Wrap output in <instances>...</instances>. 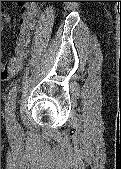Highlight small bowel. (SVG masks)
Listing matches in <instances>:
<instances>
[{"mask_svg": "<svg viewBox=\"0 0 121 169\" xmlns=\"http://www.w3.org/2000/svg\"><path fill=\"white\" fill-rule=\"evenodd\" d=\"M36 13L37 8L33 4H27L22 8V12L19 17L17 47L14 55L10 57L7 62L2 63L1 79L6 80L21 70L31 47V33L36 25ZM2 21L4 23L10 21V16L5 11L2 12Z\"/></svg>", "mask_w": 121, "mask_h": 169, "instance_id": "obj_1", "label": "small bowel"}]
</instances>
